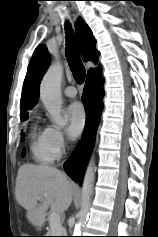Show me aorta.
I'll list each match as a JSON object with an SVG mask.
<instances>
[{
  "label": "aorta",
  "mask_w": 158,
  "mask_h": 237,
  "mask_svg": "<svg viewBox=\"0 0 158 237\" xmlns=\"http://www.w3.org/2000/svg\"><path fill=\"white\" fill-rule=\"evenodd\" d=\"M61 79L62 70L57 64H53L45 73L40 84V99L47 109L50 119L59 126H65L66 121L61 115L62 97H61ZM94 161H90L83 178L82 183V200L79 219L75 226V236H80L81 226L88 216L90 201L94 185ZM77 234V235H76Z\"/></svg>",
  "instance_id": "762f6f07"
}]
</instances>
